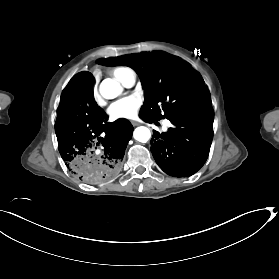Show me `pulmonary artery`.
I'll return each mask as SVG.
<instances>
[{
	"instance_id": "obj_1",
	"label": "pulmonary artery",
	"mask_w": 279,
	"mask_h": 279,
	"mask_svg": "<svg viewBox=\"0 0 279 279\" xmlns=\"http://www.w3.org/2000/svg\"><path fill=\"white\" fill-rule=\"evenodd\" d=\"M136 81V77L134 73H129V75L127 76L126 82H125V86L126 87H132L134 85Z\"/></svg>"
}]
</instances>
